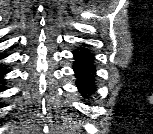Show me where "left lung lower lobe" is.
<instances>
[{"mask_svg":"<svg viewBox=\"0 0 153 134\" xmlns=\"http://www.w3.org/2000/svg\"><path fill=\"white\" fill-rule=\"evenodd\" d=\"M75 63L73 70L77 78L76 86L84 98L92 96L95 92L96 68L94 55L85 47L73 51Z\"/></svg>","mask_w":153,"mask_h":134,"instance_id":"1","label":"left lung lower lobe"}]
</instances>
